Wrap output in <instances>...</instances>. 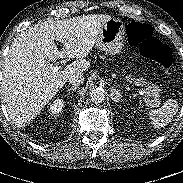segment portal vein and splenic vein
<instances>
[{
	"label": "portal vein and splenic vein",
	"mask_w": 183,
	"mask_h": 183,
	"mask_svg": "<svg viewBox=\"0 0 183 183\" xmlns=\"http://www.w3.org/2000/svg\"><path fill=\"white\" fill-rule=\"evenodd\" d=\"M65 63V62H64ZM50 70H52L53 72H56V71H58L59 69H60V67H58V66H52V65H50ZM148 92H147V89H144V90H140L139 91V94L140 95H142V96H144V100H145V103L147 104V102H148V98H147V94Z\"/></svg>",
	"instance_id": "1"
}]
</instances>
